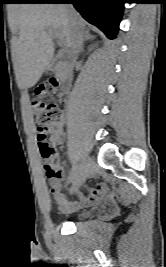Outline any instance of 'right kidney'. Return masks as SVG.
Returning <instances> with one entry per match:
<instances>
[{
  "mask_svg": "<svg viewBox=\"0 0 166 267\" xmlns=\"http://www.w3.org/2000/svg\"><path fill=\"white\" fill-rule=\"evenodd\" d=\"M92 49H93V47H92V48H90V49H89V51H91Z\"/></svg>",
  "mask_w": 166,
  "mask_h": 267,
  "instance_id": "ca27d5eb",
  "label": "right kidney"
}]
</instances>
